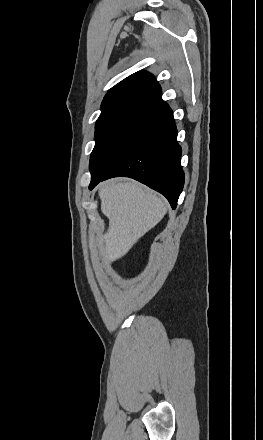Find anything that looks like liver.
<instances>
[{
    "label": "liver",
    "mask_w": 263,
    "mask_h": 440,
    "mask_svg": "<svg viewBox=\"0 0 263 440\" xmlns=\"http://www.w3.org/2000/svg\"><path fill=\"white\" fill-rule=\"evenodd\" d=\"M99 197L101 211L109 219L108 230L100 238L99 248L108 262L126 255L167 212L165 202L137 182L111 180L101 183Z\"/></svg>",
    "instance_id": "liver-1"
}]
</instances>
